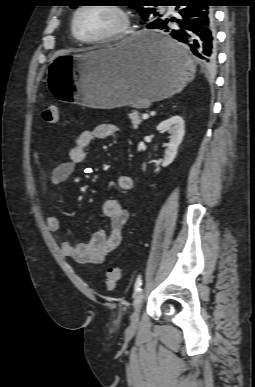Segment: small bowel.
<instances>
[{
	"label": "small bowel",
	"instance_id": "obj_1",
	"mask_svg": "<svg viewBox=\"0 0 255 387\" xmlns=\"http://www.w3.org/2000/svg\"><path fill=\"white\" fill-rule=\"evenodd\" d=\"M118 127L111 123H101L92 129L82 131L70 148L68 159L54 166L49 173V181L53 186L64 184L74 173L76 167L87 158V149L95 140L108 138L118 132ZM132 178L122 175L117 179V187L121 192L131 190ZM102 212L109 219L108 232L95 231L85 243L73 244L64 241L61 250L64 256L81 264L98 265L106 256L116 249L123 238V228L129 218L128 209L117 199H108L102 205ZM47 227L52 232L60 229V220L56 215L47 217Z\"/></svg>",
	"mask_w": 255,
	"mask_h": 387
}]
</instances>
